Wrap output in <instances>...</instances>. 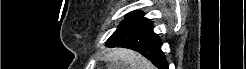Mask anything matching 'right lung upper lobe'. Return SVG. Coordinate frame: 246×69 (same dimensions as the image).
<instances>
[{
  "label": "right lung upper lobe",
  "mask_w": 246,
  "mask_h": 69,
  "mask_svg": "<svg viewBox=\"0 0 246 69\" xmlns=\"http://www.w3.org/2000/svg\"><path fill=\"white\" fill-rule=\"evenodd\" d=\"M143 16V13L141 12H132L130 14H128L127 17H142Z\"/></svg>",
  "instance_id": "right-lung-upper-lobe-1"
}]
</instances>
